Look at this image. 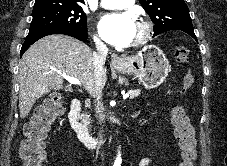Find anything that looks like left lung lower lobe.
<instances>
[{
  "label": "left lung lower lobe",
  "instance_id": "obj_1",
  "mask_svg": "<svg viewBox=\"0 0 227 166\" xmlns=\"http://www.w3.org/2000/svg\"><path fill=\"white\" fill-rule=\"evenodd\" d=\"M186 33H188L192 38H194V39L197 41V38H196V36H195V34H194V30H192V31H187Z\"/></svg>",
  "mask_w": 227,
  "mask_h": 166
}]
</instances>
